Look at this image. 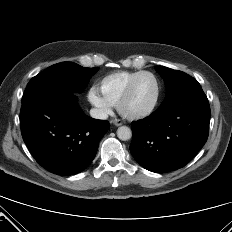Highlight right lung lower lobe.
Wrapping results in <instances>:
<instances>
[{
	"label": "right lung lower lobe",
	"mask_w": 232,
	"mask_h": 232,
	"mask_svg": "<svg viewBox=\"0 0 232 232\" xmlns=\"http://www.w3.org/2000/svg\"><path fill=\"white\" fill-rule=\"evenodd\" d=\"M22 137L36 161L58 175L83 171L110 125L82 113L74 92L46 91L22 100Z\"/></svg>",
	"instance_id": "1"
}]
</instances>
